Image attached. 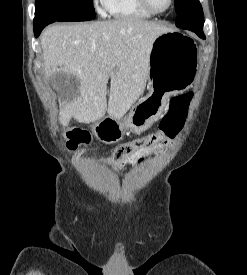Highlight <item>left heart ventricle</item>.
I'll use <instances>...</instances> for the list:
<instances>
[{"label":"left heart ventricle","instance_id":"b2bd125f","mask_svg":"<svg viewBox=\"0 0 247 275\" xmlns=\"http://www.w3.org/2000/svg\"><path fill=\"white\" fill-rule=\"evenodd\" d=\"M156 10H164L169 5V0H149Z\"/></svg>","mask_w":247,"mask_h":275}]
</instances>
